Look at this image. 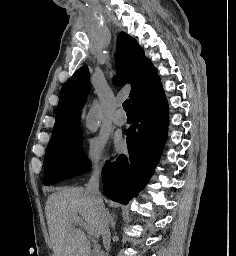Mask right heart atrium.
<instances>
[{
    "instance_id": "obj_1",
    "label": "right heart atrium",
    "mask_w": 236,
    "mask_h": 256,
    "mask_svg": "<svg viewBox=\"0 0 236 256\" xmlns=\"http://www.w3.org/2000/svg\"><path fill=\"white\" fill-rule=\"evenodd\" d=\"M104 148V143L98 139L90 140L86 146L84 161L88 172L92 175H98L102 171Z\"/></svg>"
}]
</instances>
